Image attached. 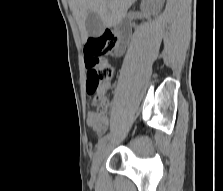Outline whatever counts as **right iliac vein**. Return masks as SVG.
Returning a JSON list of instances; mask_svg holds the SVG:
<instances>
[{
  "label": "right iliac vein",
  "instance_id": "obj_1",
  "mask_svg": "<svg viewBox=\"0 0 223 191\" xmlns=\"http://www.w3.org/2000/svg\"><path fill=\"white\" fill-rule=\"evenodd\" d=\"M105 154H106V145L104 143L98 148L97 152L94 155V159L92 162V168H91L92 175L95 176L97 174V171L99 169V166H100Z\"/></svg>",
  "mask_w": 223,
  "mask_h": 191
}]
</instances>
